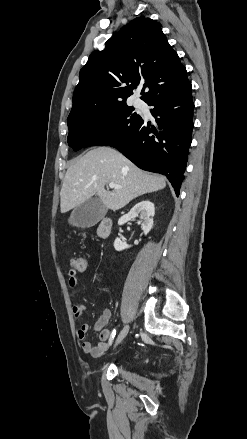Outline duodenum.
<instances>
[{"label":"duodenum","mask_w":247,"mask_h":439,"mask_svg":"<svg viewBox=\"0 0 247 439\" xmlns=\"http://www.w3.org/2000/svg\"><path fill=\"white\" fill-rule=\"evenodd\" d=\"M112 220L110 218H103L97 227V235L100 239H108L112 232Z\"/></svg>","instance_id":"1"}]
</instances>
